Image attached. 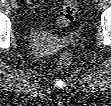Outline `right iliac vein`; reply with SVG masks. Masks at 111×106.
Returning a JSON list of instances; mask_svg holds the SVG:
<instances>
[{"instance_id": "right-iliac-vein-1", "label": "right iliac vein", "mask_w": 111, "mask_h": 106, "mask_svg": "<svg viewBox=\"0 0 111 106\" xmlns=\"http://www.w3.org/2000/svg\"><path fill=\"white\" fill-rule=\"evenodd\" d=\"M11 5L13 8H16L17 7V2L15 0L11 1Z\"/></svg>"}]
</instances>
